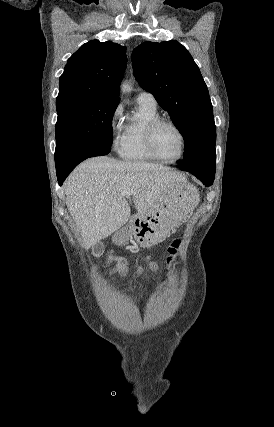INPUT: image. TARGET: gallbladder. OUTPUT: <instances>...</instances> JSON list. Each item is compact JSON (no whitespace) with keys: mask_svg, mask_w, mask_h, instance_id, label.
I'll list each match as a JSON object with an SVG mask.
<instances>
[{"mask_svg":"<svg viewBox=\"0 0 274 427\" xmlns=\"http://www.w3.org/2000/svg\"><path fill=\"white\" fill-rule=\"evenodd\" d=\"M91 249L95 257H100V255H103L105 251L104 243H101V241H98V243H95V245H92Z\"/></svg>","mask_w":274,"mask_h":427,"instance_id":"obj_1","label":"gallbladder"}]
</instances>
